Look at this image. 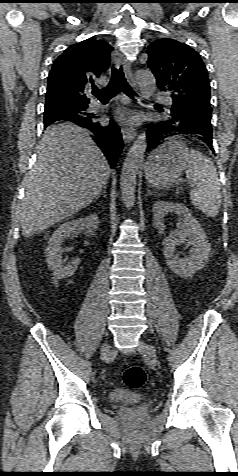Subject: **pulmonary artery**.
Returning <instances> with one entry per match:
<instances>
[{
    "mask_svg": "<svg viewBox=\"0 0 238 476\" xmlns=\"http://www.w3.org/2000/svg\"><path fill=\"white\" fill-rule=\"evenodd\" d=\"M155 98L158 99L159 101L167 104V105H172V103H173L171 97L166 96V95H162L160 93L156 94ZM101 109H102V106L99 103L94 102L93 104H91V110L92 111L97 112V111H100Z\"/></svg>",
    "mask_w": 238,
    "mask_h": 476,
    "instance_id": "pulmonary-artery-1",
    "label": "pulmonary artery"
}]
</instances>
